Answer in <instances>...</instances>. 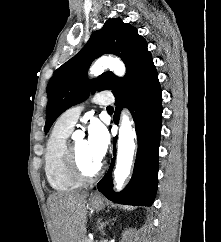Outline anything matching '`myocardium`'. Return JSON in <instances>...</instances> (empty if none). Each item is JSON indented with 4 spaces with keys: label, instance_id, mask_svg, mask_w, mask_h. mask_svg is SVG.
I'll list each match as a JSON object with an SVG mask.
<instances>
[{
    "label": "myocardium",
    "instance_id": "obj_1",
    "mask_svg": "<svg viewBox=\"0 0 221 242\" xmlns=\"http://www.w3.org/2000/svg\"><path fill=\"white\" fill-rule=\"evenodd\" d=\"M67 165L71 175L82 182L92 181L100 174L102 170V163L99 162L97 167L93 171H85L79 162L77 153L73 145L67 148Z\"/></svg>",
    "mask_w": 221,
    "mask_h": 242
}]
</instances>
